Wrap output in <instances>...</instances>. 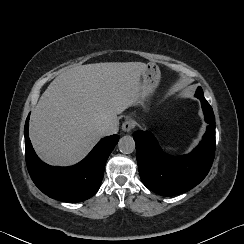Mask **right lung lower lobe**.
Wrapping results in <instances>:
<instances>
[{"instance_id":"obj_1","label":"right lung lower lobe","mask_w":244,"mask_h":244,"mask_svg":"<svg viewBox=\"0 0 244 244\" xmlns=\"http://www.w3.org/2000/svg\"><path fill=\"white\" fill-rule=\"evenodd\" d=\"M29 116L25 135V157L35 185L46 195L64 202H80L92 197L99 189L107 158L119 137L112 135L100 140L85 159L70 167H55L42 162L32 148L28 136Z\"/></svg>"}]
</instances>
